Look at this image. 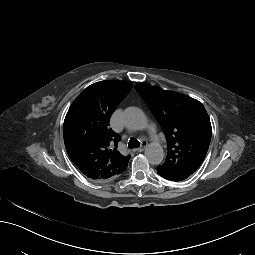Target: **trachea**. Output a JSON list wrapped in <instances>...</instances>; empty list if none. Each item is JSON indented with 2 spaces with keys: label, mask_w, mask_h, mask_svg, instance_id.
Returning <instances> with one entry per match:
<instances>
[{
  "label": "trachea",
  "mask_w": 255,
  "mask_h": 255,
  "mask_svg": "<svg viewBox=\"0 0 255 255\" xmlns=\"http://www.w3.org/2000/svg\"><path fill=\"white\" fill-rule=\"evenodd\" d=\"M139 146H140V142L137 139L131 138L129 140V143H128L129 148H138Z\"/></svg>",
  "instance_id": "3493384b"
}]
</instances>
